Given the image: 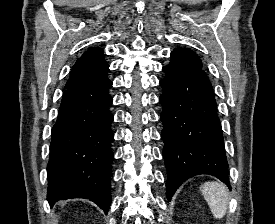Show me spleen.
<instances>
[{
	"label": "spleen",
	"instance_id": "spleen-1",
	"mask_svg": "<svg viewBox=\"0 0 275 224\" xmlns=\"http://www.w3.org/2000/svg\"><path fill=\"white\" fill-rule=\"evenodd\" d=\"M200 190L216 219H222L228 209L229 194L226 187L215 181L205 182Z\"/></svg>",
	"mask_w": 275,
	"mask_h": 224
}]
</instances>
